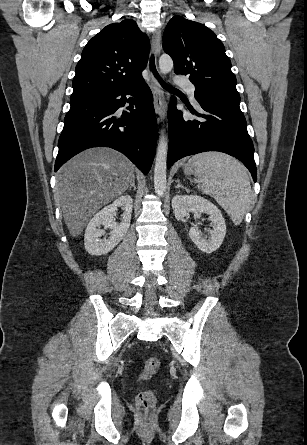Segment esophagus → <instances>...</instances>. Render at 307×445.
Here are the masks:
<instances>
[{"mask_svg":"<svg viewBox=\"0 0 307 445\" xmlns=\"http://www.w3.org/2000/svg\"><path fill=\"white\" fill-rule=\"evenodd\" d=\"M152 52L155 57H158L161 52V31L159 28L154 30L152 35ZM151 84L150 87L154 97V109L158 115V120L162 121L166 117V111L164 106V93L155 77L150 75Z\"/></svg>","mask_w":307,"mask_h":445,"instance_id":"obj_1","label":"esophagus"}]
</instances>
